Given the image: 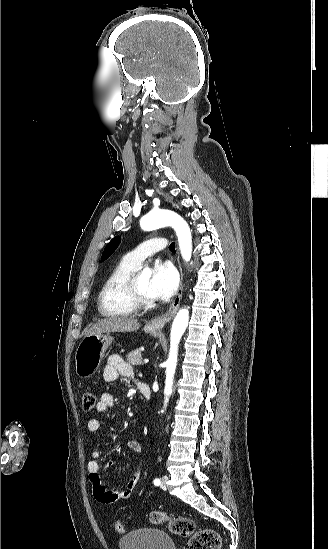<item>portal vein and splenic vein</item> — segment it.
<instances>
[{
  "label": "portal vein and splenic vein",
  "instance_id": "18ae733b",
  "mask_svg": "<svg viewBox=\"0 0 328 549\" xmlns=\"http://www.w3.org/2000/svg\"><path fill=\"white\" fill-rule=\"evenodd\" d=\"M147 358H143V364H146Z\"/></svg>",
  "mask_w": 328,
  "mask_h": 549
}]
</instances>
